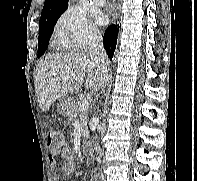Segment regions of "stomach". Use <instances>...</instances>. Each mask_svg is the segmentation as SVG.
Instances as JSON below:
<instances>
[{"label": "stomach", "mask_w": 197, "mask_h": 181, "mask_svg": "<svg viewBox=\"0 0 197 181\" xmlns=\"http://www.w3.org/2000/svg\"><path fill=\"white\" fill-rule=\"evenodd\" d=\"M73 105V101L69 97H62L59 100L58 106H57V112L61 115H67L70 112V109Z\"/></svg>", "instance_id": "1"}]
</instances>
